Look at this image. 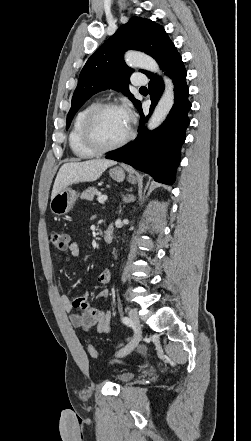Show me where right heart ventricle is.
I'll list each match as a JSON object with an SVG mask.
<instances>
[{
	"instance_id": "1",
	"label": "right heart ventricle",
	"mask_w": 251,
	"mask_h": 441,
	"mask_svg": "<svg viewBox=\"0 0 251 441\" xmlns=\"http://www.w3.org/2000/svg\"><path fill=\"white\" fill-rule=\"evenodd\" d=\"M96 105L95 102H90L80 109L74 117L70 132L69 145L73 154L80 159H89L94 157L97 153L90 150L82 140V124L86 114Z\"/></svg>"
}]
</instances>
